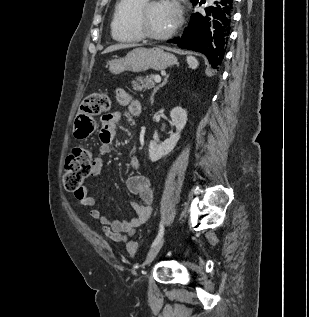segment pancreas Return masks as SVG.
<instances>
[{"label": "pancreas", "instance_id": "obj_1", "mask_svg": "<svg viewBox=\"0 0 309 317\" xmlns=\"http://www.w3.org/2000/svg\"><path fill=\"white\" fill-rule=\"evenodd\" d=\"M155 76L156 75L151 74L146 77H137L136 81L132 82L133 89L136 91H142L153 88L155 86Z\"/></svg>", "mask_w": 309, "mask_h": 317}]
</instances>
